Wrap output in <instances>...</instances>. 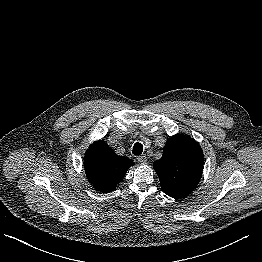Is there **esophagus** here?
<instances>
[{
  "instance_id": "1",
  "label": "esophagus",
  "mask_w": 262,
  "mask_h": 262,
  "mask_svg": "<svg viewBox=\"0 0 262 262\" xmlns=\"http://www.w3.org/2000/svg\"><path fill=\"white\" fill-rule=\"evenodd\" d=\"M137 160L141 163V164H145L147 162V157L145 155H141L137 158Z\"/></svg>"
}]
</instances>
